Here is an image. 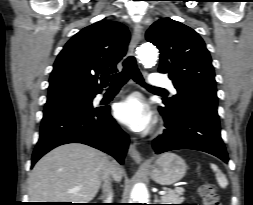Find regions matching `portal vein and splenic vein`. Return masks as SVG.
<instances>
[{
  "label": "portal vein and splenic vein",
  "mask_w": 253,
  "mask_h": 205,
  "mask_svg": "<svg viewBox=\"0 0 253 205\" xmlns=\"http://www.w3.org/2000/svg\"><path fill=\"white\" fill-rule=\"evenodd\" d=\"M79 187L74 188V191L78 190ZM167 191H159V195H165Z\"/></svg>",
  "instance_id": "1"
}]
</instances>
